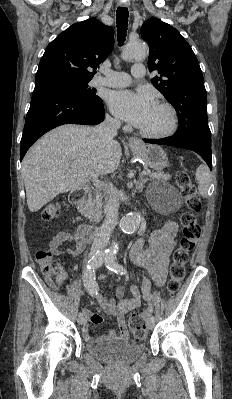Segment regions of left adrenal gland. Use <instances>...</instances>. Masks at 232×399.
Listing matches in <instances>:
<instances>
[{"label":"left adrenal gland","mask_w":232,"mask_h":399,"mask_svg":"<svg viewBox=\"0 0 232 399\" xmlns=\"http://www.w3.org/2000/svg\"><path fill=\"white\" fill-rule=\"evenodd\" d=\"M144 184H145V180H143V178H140L136 188H138L139 192H142L143 188H144Z\"/></svg>","instance_id":"obj_1"}]
</instances>
